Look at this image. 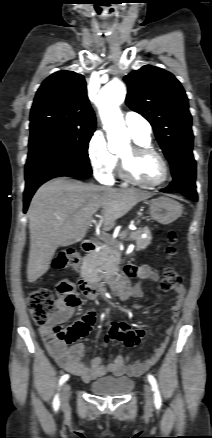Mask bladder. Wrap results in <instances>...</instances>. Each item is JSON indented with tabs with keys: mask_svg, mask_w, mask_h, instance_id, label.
I'll return each instance as SVG.
<instances>
[{
	"mask_svg": "<svg viewBox=\"0 0 212 438\" xmlns=\"http://www.w3.org/2000/svg\"><path fill=\"white\" fill-rule=\"evenodd\" d=\"M90 391L101 396H121L133 388V380L128 377H101L90 384Z\"/></svg>",
	"mask_w": 212,
	"mask_h": 438,
	"instance_id": "bladder-1",
	"label": "bladder"
}]
</instances>
